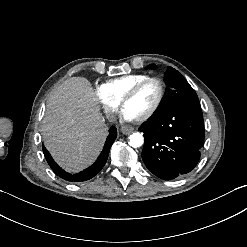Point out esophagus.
<instances>
[{
	"instance_id": "obj_1",
	"label": "esophagus",
	"mask_w": 247,
	"mask_h": 247,
	"mask_svg": "<svg viewBox=\"0 0 247 247\" xmlns=\"http://www.w3.org/2000/svg\"><path fill=\"white\" fill-rule=\"evenodd\" d=\"M133 130H134V128L131 127V126H128V125H123V126H121V132H122V134L128 135V134H130Z\"/></svg>"
}]
</instances>
